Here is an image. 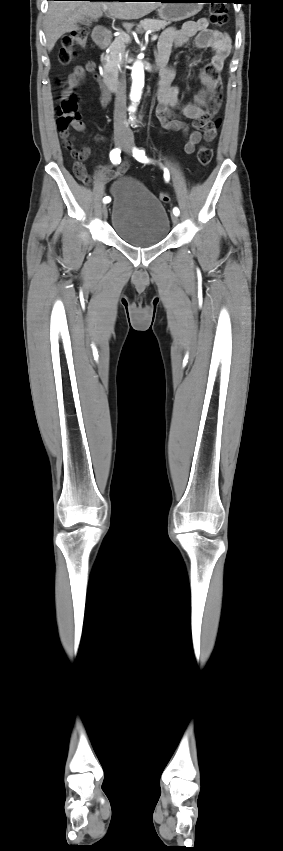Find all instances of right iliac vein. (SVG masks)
Wrapping results in <instances>:
<instances>
[{
	"mask_svg": "<svg viewBox=\"0 0 283 851\" xmlns=\"http://www.w3.org/2000/svg\"><path fill=\"white\" fill-rule=\"evenodd\" d=\"M116 144H117L118 146H123V142H122V140H121V139H117V140H116ZM102 213H103L104 218H107V216H108V209H107V206H106V205H103V206H102Z\"/></svg>",
	"mask_w": 283,
	"mask_h": 851,
	"instance_id": "1",
	"label": "right iliac vein"
}]
</instances>
